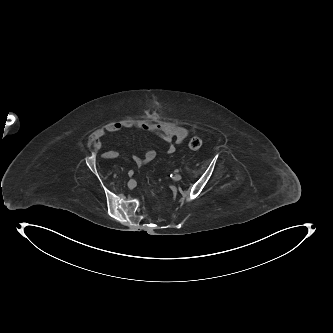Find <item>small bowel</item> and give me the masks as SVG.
Returning a JSON list of instances; mask_svg holds the SVG:
<instances>
[{"label":"small bowel","instance_id":"c3829d8e","mask_svg":"<svg viewBox=\"0 0 333 333\" xmlns=\"http://www.w3.org/2000/svg\"><path fill=\"white\" fill-rule=\"evenodd\" d=\"M131 128H137L159 136L166 143V151L170 154L175 152L176 144H181L190 134L187 128L170 122H150L128 119L111 122L107 124L105 128L97 130L93 137V148L97 151L103 148V138L107 133H116L122 129ZM118 155L119 153L117 151L109 150L102 153L101 157L104 159H114L118 157ZM156 155V151L150 148L147 149L142 156L134 154L132 159L137 166H143L151 162Z\"/></svg>","mask_w":333,"mask_h":333}]
</instances>
